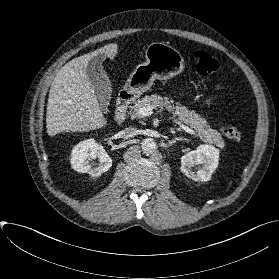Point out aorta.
<instances>
[{
  "instance_id": "obj_1",
  "label": "aorta",
  "mask_w": 279,
  "mask_h": 279,
  "mask_svg": "<svg viewBox=\"0 0 279 279\" xmlns=\"http://www.w3.org/2000/svg\"><path fill=\"white\" fill-rule=\"evenodd\" d=\"M141 147L145 154H151L156 150V142L152 138H146L142 141Z\"/></svg>"
}]
</instances>
